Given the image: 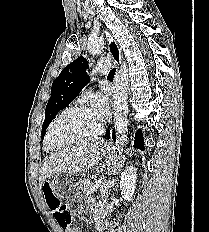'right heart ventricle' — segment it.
<instances>
[{"mask_svg":"<svg viewBox=\"0 0 209 232\" xmlns=\"http://www.w3.org/2000/svg\"><path fill=\"white\" fill-rule=\"evenodd\" d=\"M45 148L47 149V150H51L50 148H48L46 145H45Z\"/></svg>","mask_w":209,"mask_h":232,"instance_id":"obj_1","label":"right heart ventricle"}]
</instances>
